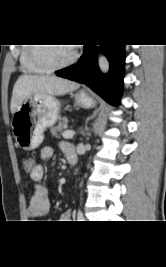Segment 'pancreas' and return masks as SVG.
<instances>
[{
    "mask_svg": "<svg viewBox=\"0 0 166 267\" xmlns=\"http://www.w3.org/2000/svg\"><path fill=\"white\" fill-rule=\"evenodd\" d=\"M67 123H68L67 118H64L62 122H60L56 127L51 128L50 131L52 135L59 137L58 132L67 129Z\"/></svg>",
    "mask_w": 166,
    "mask_h": 267,
    "instance_id": "cf45deb5",
    "label": "pancreas"
}]
</instances>
